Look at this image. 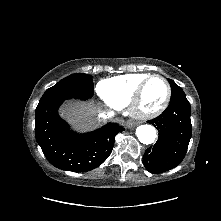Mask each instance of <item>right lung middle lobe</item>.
I'll return each instance as SVG.
<instances>
[{
	"label": "right lung middle lobe",
	"mask_w": 221,
	"mask_h": 221,
	"mask_svg": "<svg viewBox=\"0 0 221 221\" xmlns=\"http://www.w3.org/2000/svg\"><path fill=\"white\" fill-rule=\"evenodd\" d=\"M94 93L92 77L83 73L67 76L45 91L39 102L61 96H81L90 98Z\"/></svg>",
	"instance_id": "obj_1"
}]
</instances>
